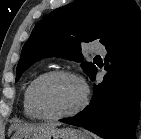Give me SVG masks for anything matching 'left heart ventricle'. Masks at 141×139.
Here are the masks:
<instances>
[{
	"mask_svg": "<svg viewBox=\"0 0 141 139\" xmlns=\"http://www.w3.org/2000/svg\"><path fill=\"white\" fill-rule=\"evenodd\" d=\"M81 96V85L69 77L48 79L38 91L39 103L49 114H59L71 110L79 103Z\"/></svg>",
	"mask_w": 141,
	"mask_h": 139,
	"instance_id": "b2bd125f",
	"label": "left heart ventricle"
}]
</instances>
